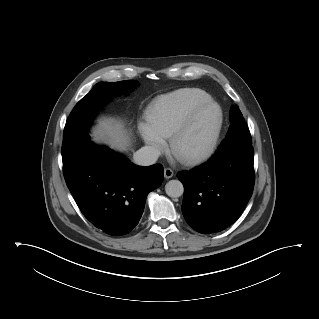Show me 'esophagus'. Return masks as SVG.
I'll return each mask as SVG.
<instances>
[{
	"label": "esophagus",
	"mask_w": 319,
	"mask_h": 319,
	"mask_svg": "<svg viewBox=\"0 0 319 319\" xmlns=\"http://www.w3.org/2000/svg\"><path fill=\"white\" fill-rule=\"evenodd\" d=\"M173 175H174V172H173L172 169H170V168H165L164 169V177L166 179H170L171 177H173Z\"/></svg>",
	"instance_id": "1"
}]
</instances>
